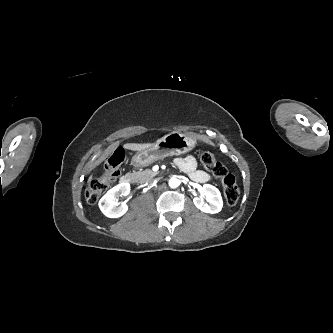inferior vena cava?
Segmentation results:
<instances>
[{"label": "inferior vena cava", "instance_id": "1", "mask_svg": "<svg viewBox=\"0 0 333 333\" xmlns=\"http://www.w3.org/2000/svg\"><path fill=\"white\" fill-rule=\"evenodd\" d=\"M154 182H155V181H151V182L149 183V185H153V184H154Z\"/></svg>", "mask_w": 333, "mask_h": 333}]
</instances>
